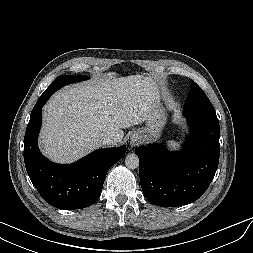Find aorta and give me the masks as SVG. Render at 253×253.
I'll use <instances>...</instances> for the list:
<instances>
[{
  "mask_svg": "<svg viewBox=\"0 0 253 253\" xmlns=\"http://www.w3.org/2000/svg\"><path fill=\"white\" fill-rule=\"evenodd\" d=\"M125 165L129 169H136L139 166V157L134 153L128 154L125 158Z\"/></svg>",
  "mask_w": 253,
  "mask_h": 253,
  "instance_id": "1",
  "label": "aorta"
}]
</instances>
